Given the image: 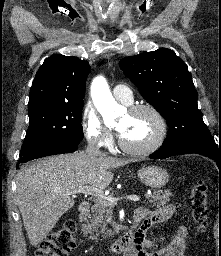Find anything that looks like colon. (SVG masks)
<instances>
[{
    "label": "colon",
    "mask_w": 221,
    "mask_h": 256,
    "mask_svg": "<svg viewBox=\"0 0 221 256\" xmlns=\"http://www.w3.org/2000/svg\"><path fill=\"white\" fill-rule=\"evenodd\" d=\"M189 201L193 220L203 232L207 226L208 207L207 189L202 180H197L192 186ZM75 231V222L66 221L40 243L35 256H68L76 245Z\"/></svg>",
    "instance_id": "colon-1"
}]
</instances>
